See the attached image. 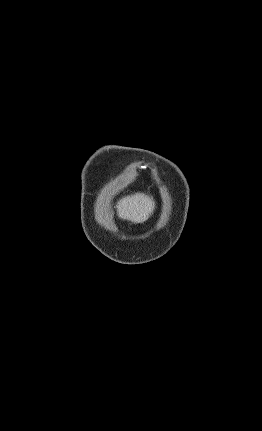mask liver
Masks as SVG:
<instances>
[{
	"label": "liver",
	"instance_id": "6515ba94",
	"mask_svg": "<svg viewBox=\"0 0 262 431\" xmlns=\"http://www.w3.org/2000/svg\"><path fill=\"white\" fill-rule=\"evenodd\" d=\"M154 208L153 198L143 193L125 197L117 206L118 216L133 223H143L148 220Z\"/></svg>",
	"mask_w": 262,
	"mask_h": 431
}]
</instances>
